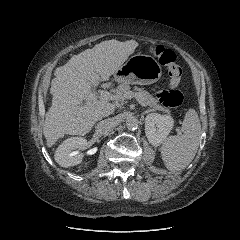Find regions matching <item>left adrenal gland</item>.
Returning <instances> with one entry per match:
<instances>
[{
	"mask_svg": "<svg viewBox=\"0 0 240 240\" xmlns=\"http://www.w3.org/2000/svg\"><path fill=\"white\" fill-rule=\"evenodd\" d=\"M148 112H150V110H145V111L143 112V114L148 113Z\"/></svg>",
	"mask_w": 240,
	"mask_h": 240,
	"instance_id": "left-adrenal-gland-1",
	"label": "left adrenal gland"
}]
</instances>
